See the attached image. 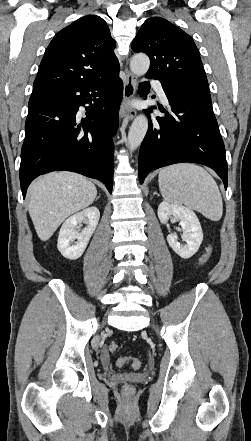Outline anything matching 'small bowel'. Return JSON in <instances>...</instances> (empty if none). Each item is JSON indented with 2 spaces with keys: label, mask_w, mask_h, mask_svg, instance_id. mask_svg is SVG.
I'll return each mask as SVG.
<instances>
[{
  "label": "small bowel",
  "mask_w": 251,
  "mask_h": 441,
  "mask_svg": "<svg viewBox=\"0 0 251 441\" xmlns=\"http://www.w3.org/2000/svg\"><path fill=\"white\" fill-rule=\"evenodd\" d=\"M102 359H103L104 361H107V360H108V354H107L106 351H103V352H102Z\"/></svg>",
  "instance_id": "obj_1"
}]
</instances>
